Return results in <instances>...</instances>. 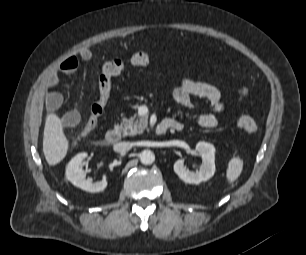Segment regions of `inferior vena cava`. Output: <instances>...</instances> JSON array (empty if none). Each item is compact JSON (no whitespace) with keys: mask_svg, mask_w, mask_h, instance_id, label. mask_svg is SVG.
Wrapping results in <instances>:
<instances>
[{"mask_svg":"<svg viewBox=\"0 0 306 255\" xmlns=\"http://www.w3.org/2000/svg\"><path fill=\"white\" fill-rule=\"evenodd\" d=\"M132 148V144L130 142H119L113 146L115 152L125 153Z\"/></svg>","mask_w":306,"mask_h":255,"instance_id":"602c4592","label":"inferior vena cava"}]
</instances>
